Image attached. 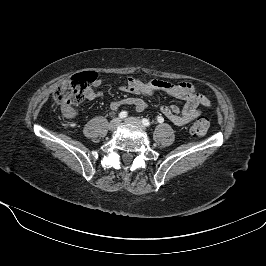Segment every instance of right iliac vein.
Listing matches in <instances>:
<instances>
[{
	"instance_id": "obj_1",
	"label": "right iliac vein",
	"mask_w": 266,
	"mask_h": 266,
	"mask_svg": "<svg viewBox=\"0 0 266 266\" xmlns=\"http://www.w3.org/2000/svg\"><path fill=\"white\" fill-rule=\"evenodd\" d=\"M120 123H121V120L119 118H115V119L110 121V123L108 125V129L110 131H114V130H116L118 128Z\"/></svg>"
}]
</instances>
